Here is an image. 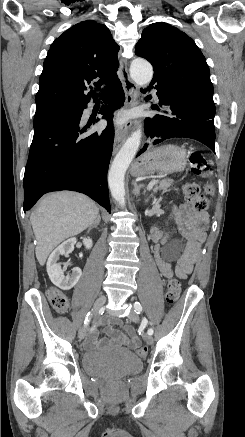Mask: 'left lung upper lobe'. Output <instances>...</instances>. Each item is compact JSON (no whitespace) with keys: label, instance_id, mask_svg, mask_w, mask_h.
<instances>
[{"label":"left lung upper lobe","instance_id":"obj_1","mask_svg":"<svg viewBox=\"0 0 245 437\" xmlns=\"http://www.w3.org/2000/svg\"><path fill=\"white\" fill-rule=\"evenodd\" d=\"M135 54L153 66L154 77L187 87L213 99L210 71L200 49L184 32L164 22L143 30Z\"/></svg>","mask_w":245,"mask_h":437}]
</instances>
